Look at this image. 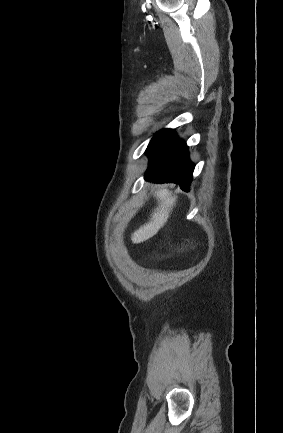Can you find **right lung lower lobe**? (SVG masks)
I'll list each match as a JSON object with an SVG mask.
<instances>
[{"label":"right lung lower lobe","mask_w":283,"mask_h":433,"mask_svg":"<svg viewBox=\"0 0 283 433\" xmlns=\"http://www.w3.org/2000/svg\"><path fill=\"white\" fill-rule=\"evenodd\" d=\"M146 153L150 158L146 180L176 183L181 189L189 190L194 165L189 160L188 147L173 130H161L151 140Z\"/></svg>","instance_id":"right-lung-lower-lobe-1"}]
</instances>
